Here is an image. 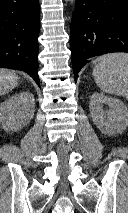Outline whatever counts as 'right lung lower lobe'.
Here are the masks:
<instances>
[{"mask_svg":"<svg viewBox=\"0 0 128 213\" xmlns=\"http://www.w3.org/2000/svg\"><path fill=\"white\" fill-rule=\"evenodd\" d=\"M38 0H0V67L22 70L40 87Z\"/></svg>","mask_w":128,"mask_h":213,"instance_id":"1","label":"right lung lower lobe"}]
</instances>
